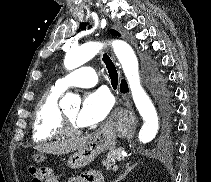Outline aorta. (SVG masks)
<instances>
[{"label":"aorta","instance_id":"762f6f07","mask_svg":"<svg viewBox=\"0 0 211 182\" xmlns=\"http://www.w3.org/2000/svg\"><path fill=\"white\" fill-rule=\"evenodd\" d=\"M104 45L105 44L101 42H87L71 49L65 56L64 65L66 69L73 70L83 65L92 59ZM111 45L123 68L136 108L144 120L138 136L139 141L148 143L152 141L157 134L159 118L152 101L140 84L137 57L132 47L125 41L114 40L111 42ZM74 98L75 96L72 93H67L62 99V102L70 103Z\"/></svg>","mask_w":211,"mask_h":182}]
</instances>
